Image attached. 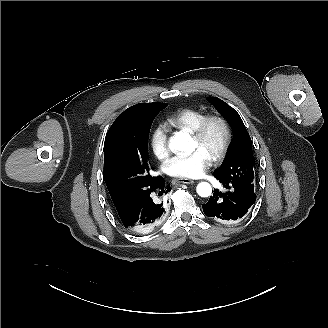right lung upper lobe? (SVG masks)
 <instances>
[{
  "instance_id": "cb5924a9",
  "label": "right lung upper lobe",
  "mask_w": 328,
  "mask_h": 328,
  "mask_svg": "<svg viewBox=\"0 0 328 328\" xmlns=\"http://www.w3.org/2000/svg\"><path fill=\"white\" fill-rule=\"evenodd\" d=\"M112 201L118 211V214H119V217L120 219L121 218H126L130 211H131V208L134 204H131V203H124V202H121V201H118L116 199H113L112 198Z\"/></svg>"
}]
</instances>
